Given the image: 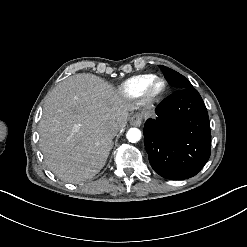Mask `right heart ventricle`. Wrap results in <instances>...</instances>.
I'll return each mask as SVG.
<instances>
[{
    "label": "right heart ventricle",
    "mask_w": 247,
    "mask_h": 247,
    "mask_svg": "<svg viewBox=\"0 0 247 247\" xmlns=\"http://www.w3.org/2000/svg\"><path fill=\"white\" fill-rule=\"evenodd\" d=\"M156 75L144 74L125 80L119 87L122 100L140 99L144 85Z\"/></svg>",
    "instance_id": "obj_1"
}]
</instances>
